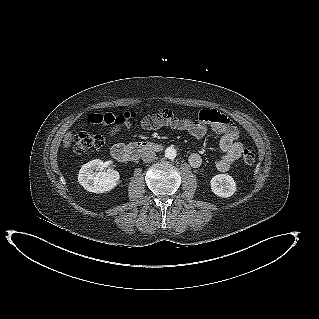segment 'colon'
Returning <instances> with one entry per match:
<instances>
[{
  "instance_id": "obj_1",
  "label": "colon",
  "mask_w": 319,
  "mask_h": 319,
  "mask_svg": "<svg viewBox=\"0 0 319 319\" xmlns=\"http://www.w3.org/2000/svg\"><path fill=\"white\" fill-rule=\"evenodd\" d=\"M140 116L137 112H120V113H106L103 115V121L107 124H112L117 127L131 126L135 124ZM104 143V139L100 135L80 132L73 138V152L75 154H84L91 150L100 148ZM243 161L246 164H252L255 161V154L245 149L243 151Z\"/></svg>"
}]
</instances>
